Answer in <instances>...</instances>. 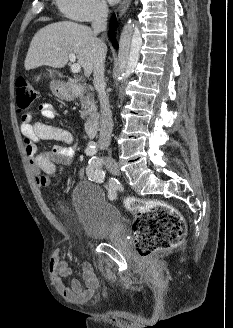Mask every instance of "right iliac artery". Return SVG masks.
<instances>
[{
    "label": "right iliac artery",
    "instance_id": "right-iliac-artery-1",
    "mask_svg": "<svg viewBox=\"0 0 233 328\" xmlns=\"http://www.w3.org/2000/svg\"><path fill=\"white\" fill-rule=\"evenodd\" d=\"M97 152V147L95 143H90L86 149V154L88 156H93ZM119 188V182L117 180H111L107 186L108 197L110 200H115L117 197V190Z\"/></svg>",
    "mask_w": 233,
    "mask_h": 328
}]
</instances>
